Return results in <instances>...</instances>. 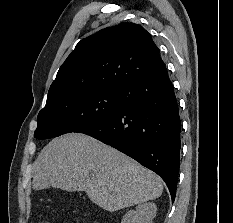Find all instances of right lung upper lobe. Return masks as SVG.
<instances>
[{"instance_id":"1","label":"right lung upper lobe","mask_w":233,"mask_h":223,"mask_svg":"<svg viewBox=\"0 0 233 223\" xmlns=\"http://www.w3.org/2000/svg\"><path fill=\"white\" fill-rule=\"evenodd\" d=\"M165 68L151 35L140 25L121 23L81 40L60 67L47 102L92 88H118Z\"/></svg>"}]
</instances>
